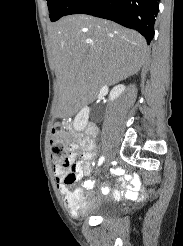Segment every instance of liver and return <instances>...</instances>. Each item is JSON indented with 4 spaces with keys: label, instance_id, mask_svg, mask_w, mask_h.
<instances>
[{
    "label": "liver",
    "instance_id": "obj_1",
    "mask_svg": "<svg viewBox=\"0 0 183 246\" xmlns=\"http://www.w3.org/2000/svg\"><path fill=\"white\" fill-rule=\"evenodd\" d=\"M60 115H73L103 85L137 74L147 55L139 33L104 19L72 15L50 25Z\"/></svg>",
    "mask_w": 183,
    "mask_h": 246
}]
</instances>
